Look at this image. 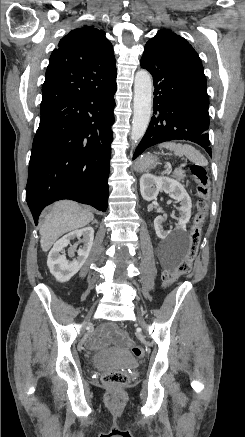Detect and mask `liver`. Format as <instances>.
I'll list each match as a JSON object with an SVG mask.
<instances>
[{"label": "liver", "mask_w": 245, "mask_h": 437, "mask_svg": "<svg viewBox=\"0 0 245 437\" xmlns=\"http://www.w3.org/2000/svg\"><path fill=\"white\" fill-rule=\"evenodd\" d=\"M93 218L91 212L82 209L75 202H56L40 228L42 250L47 252L63 234L86 226Z\"/></svg>", "instance_id": "obj_1"}]
</instances>
